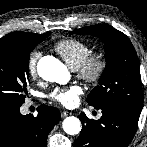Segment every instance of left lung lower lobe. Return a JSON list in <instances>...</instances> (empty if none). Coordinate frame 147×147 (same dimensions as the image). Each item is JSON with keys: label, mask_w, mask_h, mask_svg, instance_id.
I'll use <instances>...</instances> for the list:
<instances>
[{"label": "left lung lower lobe", "mask_w": 147, "mask_h": 147, "mask_svg": "<svg viewBox=\"0 0 147 147\" xmlns=\"http://www.w3.org/2000/svg\"><path fill=\"white\" fill-rule=\"evenodd\" d=\"M96 121L84 113L79 116L82 130L74 147H127L137 130L139 114L117 106H104Z\"/></svg>", "instance_id": "0a47b994"}]
</instances>
